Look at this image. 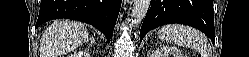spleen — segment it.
I'll return each instance as SVG.
<instances>
[{
    "mask_svg": "<svg viewBox=\"0 0 249 57\" xmlns=\"http://www.w3.org/2000/svg\"><path fill=\"white\" fill-rule=\"evenodd\" d=\"M158 37L172 44L196 49L202 57H210L207 39L202 33L191 27L180 24L165 25L158 31Z\"/></svg>",
    "mask_w": 249,
    "mask_h": 57,
    "instance_id": "3e777b00",
    "label": "spleen"
}]
</instances>
